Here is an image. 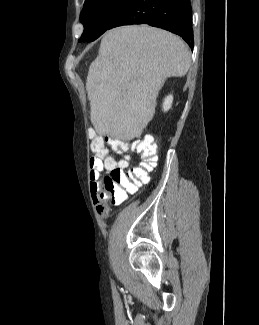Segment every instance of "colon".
<instances>
[{
	"label": "colon",
	"instance_id": "obj_1",
	"mask_svg": "<svg viewBox=\"0 0 259 325\" xmlns=\"http://www.w3.org/2000/svg\"><path fill=\"white\" fill-rule=\"evenodd\" d=\"M106 143L110 144L118 153L131 148L141 155V162L138 165L127 171H124V165H117L104 178V191H100L101 198L111 199L114 203H121L126 198L127 193H134L139 187L148 183L149 173L157 161L158 145L155 138L150 135L129 145L111 137H104L95 133L90 134V149L98 159L102 160L107 156Z\"/></svg>",
	"mask_w": 259,
	"mask_h": 325
}]
</instances>
